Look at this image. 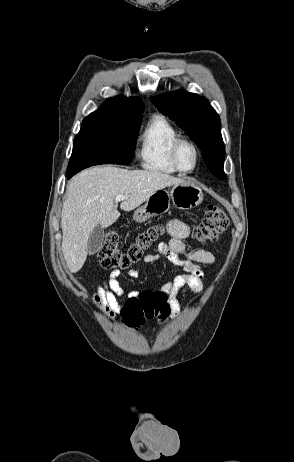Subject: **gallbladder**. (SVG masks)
<instances>
[{"label":"gallbladder","instance_id":"1","mask_svg":"<svg viewBox=\"0 0 294 462\" xmlns=\"http://www.w3.org/2000/svg\"><path fill=\"white\" fill-rule=\"evenodd\" d=\"M104 230L100 225L96 226L88 238V253L94 255L100 250L104 240Z\"/></svg>","mask_w":294,"mask_h":462}]
</instances>
